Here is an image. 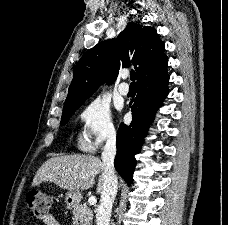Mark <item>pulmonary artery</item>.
<instances>
[{"mask_svg":"<svg viewBox=\"0 0 228 225\" xmlns=\"http://www.w3.org/2000/svg\"><path fill=\"white\" fill-rule=\"evenodd\" d=\"M118 91L122 96H127L129 93V85L126 82H122L118 87Z\"/></svg>","mask_w":228,"mask_h":225,"instance_id":"1","label":"pulmonary artery"}]
</instances>
